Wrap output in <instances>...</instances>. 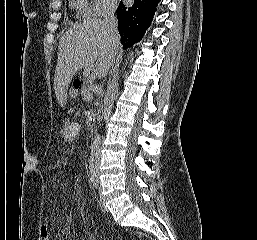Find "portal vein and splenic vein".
<instances>
[{
    "mask_svg": "<svg viewBox=\"0 0 257 240\" xmlns=\"http://www.w3.org/2000/svg\"><path fill=\"white\" fill-rule=\"evenodd\" d=\"M87 96L88 98H92V94L90 92H88Z\"/></svg>",
    "mask_w": 257,
    "mask_h": 240,
    "instance_id": "18ae733b",
    "label": "portal vein and splenic vein"
}]
</instances>
